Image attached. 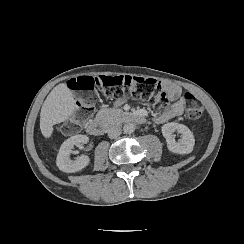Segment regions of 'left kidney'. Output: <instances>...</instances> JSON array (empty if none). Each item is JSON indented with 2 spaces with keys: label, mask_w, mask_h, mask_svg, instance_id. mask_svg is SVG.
Listing matches in <instances>:
<instances>
[{
  "label": "left kidney",
  "mask_w": 244,
  "mask_h": 244,
  "mask_svg": "<svg viewBox=\"0 0 244 244\" xmlns=\"http://www.w3.org/2000/svg\"><path fill=\"white\" fill-rule=\"evenodd\" d=\"M163 136L167 141V149L179 155H187L193 151L195 145V138L188 127L179 123H167L161 128ZM174 131L181 133L182 136L179 142H175Z\"/></svg>",
  "instance_id": "1"
}]
</instances>
